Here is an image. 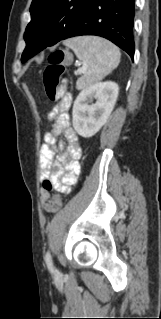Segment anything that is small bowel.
Returning <instances> with one entry per match:
<instances>
[{"instance_id": "small-bowel-1", "label": "small bowel", "mask_w": 161, "mask_h": 319, "mask_svg": "<svg viewBox=\"0 0 161 319\" xmlns=\"http://www.w3.org/2000/svg\"><path fill=\"white\" fill-rule=\"evenodd\" d=\"M60 94L62 96L60 106L54 107L48 113V119L54 121V123L50 131L46 132L43 136L44 143L41 148L43 166L42 180H51L54 189L62 194H67L70 192L71 186L77 182L80 176L81 168L78 160L81 156V147L77 136L69 127L67 110L71 105L72 97L69 93H66L63 88ZM61 134L70 143L67 148L64 147L63 143L60 144L61 149L65 150L71 158L66 161L65 164L53 161L52 159L56 149V137ZM49 168H51V171ZM48 197V192L42 190V202H46Z\"/></svg>"}]
</instances>
